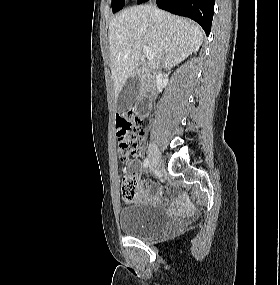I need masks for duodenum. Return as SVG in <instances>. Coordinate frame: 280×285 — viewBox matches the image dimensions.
Instances as JSON below:
<instances>
[{
    "label": "duodenum",
    "mask_w": 280,
    "mask_h": 285,
    "mask_svg": "<svg viewBox=\"0 0 280 285\" xmlns=\"http://www.w3.org/2000/svg\"><path fill=\"white\" fill-rule=\"evenodd\" d=\"M151 84L150 82H147L146 85L143 88L142 98L138 104V107L141 108V114L144 117H147L149 114V102L151 100Z\"/></svg>",
    "instance_id": "duodenum-1"
}]
</instances>
